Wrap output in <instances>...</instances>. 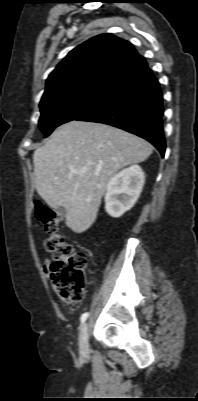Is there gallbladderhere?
I'll return each instance as SVG.
<instances>
[{
	"label": "gallbladder",
	"mask_w": 198,
	"mask_h": 401,
	"mask_svg": "<svg viewBox=\"0 0 198 401\" xmlns=\"http://www.w3.org/2000/svg\"><path fill=\"white\" fill-rule=\"evenodd\" d=\"M54 210L59 216H65L66 215V209L63 206H58Z\"/></svg>",
	"instance_id": "gallbladder-1"
}]
</instances>
